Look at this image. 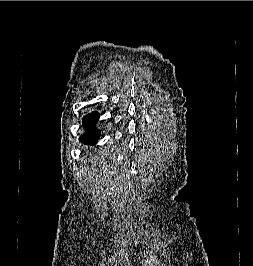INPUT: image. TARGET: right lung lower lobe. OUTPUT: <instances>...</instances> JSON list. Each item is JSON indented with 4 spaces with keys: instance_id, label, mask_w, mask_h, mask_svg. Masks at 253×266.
<instances>
[{
    "instance_id": "right-lung-lower-lobe-1",
    "label": "right lung lower lobe",
    "mask_w": 253,
    "mask_h": 266,
    "mask_svg": "<svg viewBox=\"0 0 253 266\" xmlns=\"http://www.w3.org/2000/svg\"><path fill=\"white\" fill-rule=\"evenodd\" d=\"M99 113L92 112L86 115L82 122L87 131L82 135L80 141L85 144L93 145L97 143L98 138H100V131L95 128L98 121Z\"/></svg>"
}]
</instances>
